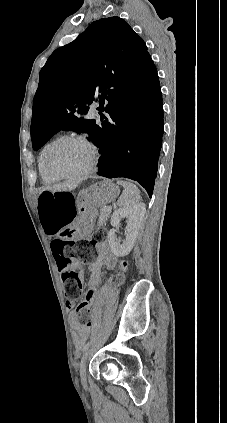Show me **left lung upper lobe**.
Segmentation results:
<instances>
[{"label": "left lung upper lobe", "mask_w": 227, "mask_h": 423, "mask_svg": "<svg viewBox=\"0 0 227 423\" xmlns=\"http://www.w3.org/2000/svg\"><path fill=\"white\" fill-rule=\"evenodd\" d=\"M155 70L145 42L122 18L91 23L56 49L40 71L31 121L33 149L60 130L87 133L94 140L99 123L78 114L92 103L107 113L132 109Z\"/></svg>", "instance_id": "5c2ea615"}]
</instances>
